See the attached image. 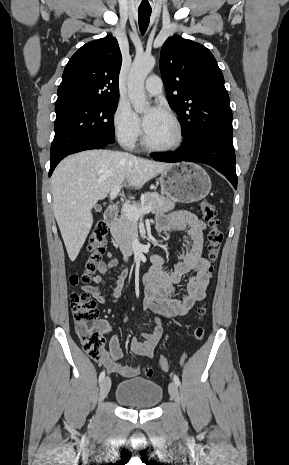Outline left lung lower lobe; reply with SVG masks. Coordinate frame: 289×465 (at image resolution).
Returning <instances> with one entry per match:
<instances>
[{
  "label": "left lung lower lobe",
  "mask_w": 289,
  "mask_h": 465,
  "mask_svg": "<svg viewBox=\"0 0 289 465\" xmlns=\"http://www.w3.org/2000/svg\"><path fill=\"white\" fill-rule=\"evenodd\" d=\"M163 162H198L221 172L237 189L235 153L231 143L211 137H201L175 152H159L150 155Z\"/></svg>",
  "instance_id": "0a47b994"
}]
</instances>
